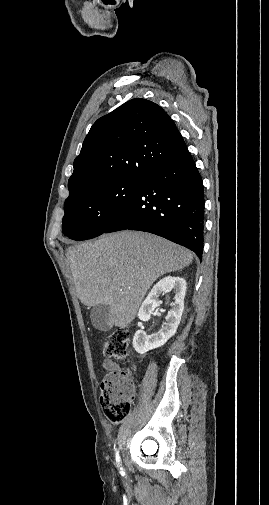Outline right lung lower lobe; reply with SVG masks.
<instances>
[{
  "mask_svg": "<svg viewBox=\"0 0 269 505\" xmlns=\"http://www.w3.org/2000/svg\"><path fill=\"white\" fill-rule=\"evenodd\" d=\"M204 186L186 149L148 172L117 219L105 230L150 232L203 254Z\"/></svg>",
  "mask_w": 269,
  "mask_h": 505,
  "instance_id": "1",
  "label": "right lung lower lobe"
}]
</instances>
